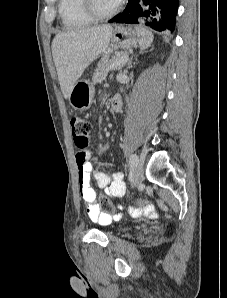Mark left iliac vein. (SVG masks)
<instances>
[{"label":"left iliac vein","instance_id":"1","mask_svg":"<svg viewBox=\"0 0 227 298\" xmlns=\"http://www.w3.org/2000/svg\"><path fill=\"white\" fill-rule=\"evenodd\" d=\"M144 170L142 164H138L136 166L134 176H133V185L136 186L143 180Z\"/></svg>","mask_w":227,"mask_h":298}]
</instances>
